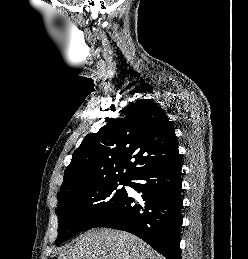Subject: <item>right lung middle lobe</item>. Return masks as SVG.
I'll use <instances>...</instances> for the list:
<instances>
[{"mask_svg": "<svg viewBox=\"0 0 248 259\" xmlns=\"http://www.w3.org/2000/svg\"><path fill=\"white\" fill-rule=\"evenodd\" d=\"M127 180H111L73 188L58 200L59 245L76 232L95 228L109 220L126 195Z\"/></svg>", "mask_w": 248, "mask_h": 259, "instance_id": "right-lung-middle-lobe-1", "label": "right lung middle lobe"}]
</instances>
